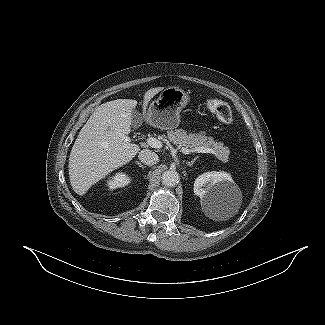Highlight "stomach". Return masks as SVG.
<instances>
[{"label": "stomach", "mask_w": 325, "mask_h": 325, "mask_svg": "<svg viewBox=\"0 0 325 325\" xmlns=\"http://www.w3.org/2000/svg\"><path fill=\"white\" fill-rule=\"evenodd\" d=\"M189 95L181 88H165L160 96L151 102L147 117L148 122L162 130L176 128L180 122V112L189 102Z\"/></svg>", "instance_id": "0dacf381"}]
</instances>
